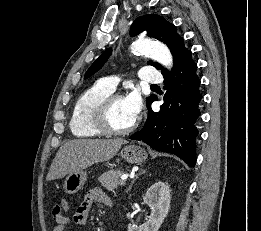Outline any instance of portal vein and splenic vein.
<instances>
[{"mask_svg":"<svg viewBox=\"0 0 261 231\" xmlns=\"http://www.w3.org/2000/svg\"><path fill=\"white\" fill-rule=\"evenodd\" d=\"M121 181H122V184H125V182H126V178L121 177Z\"/></svg>","mask_w":261,"mask_h":231,"instance_id":"1","label":"portal vein and splenic vein"}]
</instances>
